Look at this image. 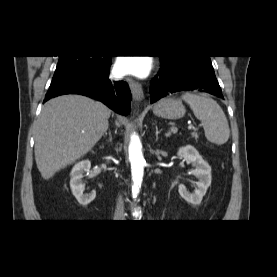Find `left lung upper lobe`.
Wrapping results in <instances>:
<instances>
[{
	"mask_svg": "<svg viewBox=\"0 0 277 277\" xmlns=\"http://www.w3.org/2000/svg\"><path fill=\"white\" fill-rule=\"evenodd\" d=\"M161 64L166 63H180V64H211L210 56H193V55H168L159 56Z\"/></svg>",
	"mask_w": 277,
	"mask_h": 277,
	"instance_id": "1",
	"label": "left lung upper lobe"
}]
</instances>
